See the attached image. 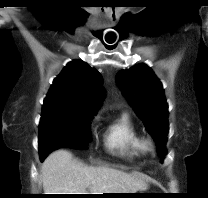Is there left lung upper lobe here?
<instances>
[{
    "label": "left lung upper lobe",
    "instance_id": "1",
    "mask_svg": "<svg viewBox=\"0 0 208 198\" xmlns=\"http://www.w3.org/2000/svg\"><path fill=\"white\" fill-rule=\"evenodd\" d=\"M120 90L154 138L161 159L166 155L168 104L159 79L145 64H138L116 75Z\"/></svg>",
    "mask_w": 208,
    "mask_h": 198
}]
</instances>
